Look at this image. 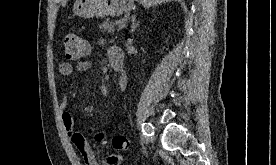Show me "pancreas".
Segmentation results:
<instances>
[{"mask_svg": "<svg viewBox=\"0 0 276 165\" xmlns=\"http://www.w3.org/2000/svg\"><path fill=\"white\" fill-rule=\"evenodd\" d=\"M117 22H111L106 20L104 23L99 24V28L104 32L113 33L115 31V25Z\"/></svg>", "mask_w": 276, "mask_h": 165, "instance_id": "1", "label": "pancreas"}]
</instances>
